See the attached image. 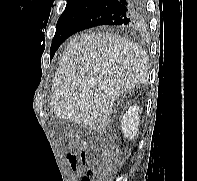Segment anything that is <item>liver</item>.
Instances as JSON below:
<instances>
[{
	"instance_id": "liver-1",
	"label": "liver",
	"mask_w": 197,
	"mask_h": 181,
	"mask_svg": "<svg viewBox=\"0 0 197 181\" xmlns=\"http://www.w3.org/2000/svg\"><path fill=\"white\" fill-rule=\"evenodd\" d=\"M148 79L147 56L134 43L109 33H84L64 49L51 111L101 133L119 96Z\"/></svg>"
}]
</instances>
